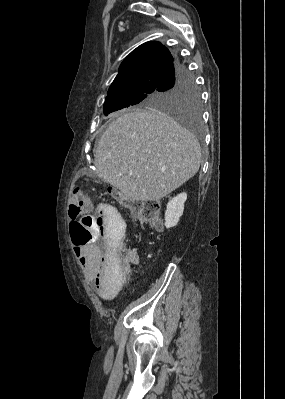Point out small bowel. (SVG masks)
<instances>
[{
  "mask_svg": "<svg viewBox=\"0 0 285 399\" xmlns=\"http://www.w3.org/2000/svg\"><path fill=\"white\" fill-rule=\"evenodd\" d=\"M96 217L92 218L87 229L101 236L99 243H87L74 247L87 276L93 277L99 296L110 300L116 296L123 285V279L116 268L110 266V258L102 250L117 245L126 235L127 225L115 209L105 203L96 206ZM84 234L81 233V237ZM134 252V262L137 255Z\"/></svg>",
  "mask_w": 285,
  "mask_h": 399,
  "instance_id": "1",
  "label": "small bowel"
}]
</instances>
